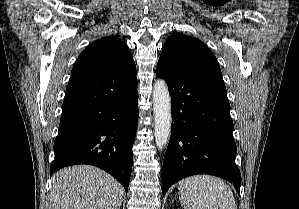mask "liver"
<instances>
[{
  "label": "liver",
  "mask_w": 299,
  "mask_h": 209,
  "mask_svg": "<svg viewBox=\"0 0 299 209\" xmlns=\"http://www.w3.org/2000/svg\"><path fill=\"white\" fill-rule=\"evenodd\" d=\"M124 189L112 176L89 165L57 172L52 178L51 209H120Z\"/></svg>",
  "instance_id": "liver-1"
}]
</instances>
